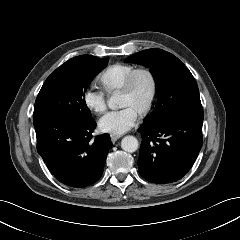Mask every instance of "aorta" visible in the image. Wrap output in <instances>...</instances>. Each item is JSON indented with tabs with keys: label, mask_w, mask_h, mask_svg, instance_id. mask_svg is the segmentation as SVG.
<instances>
[{
	"label": "aorta",
	"mask_w": 240,
	"mask_h": 240,
	"mask_svg": "<svg viewBox=\"0 0 240 240\" xmlns=\"http://www.w3.org/2000/svg\"><path fill=\"white\" fill-rule=\"evenodd\" d=\"M110 109L118 108V98L114 95L108 101ZM138 140L134 136H125L121 141V148L129 153H133L138 149Z\"/></svg>",
	"instance_id": "1"
}]
</instances>
